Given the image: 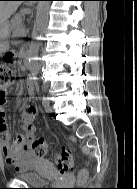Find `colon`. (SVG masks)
Segmentation results:
<instances>
[{"label": "colon", "mask_w": 137, "mask_h": 189, "mask_svg": "<svg viewBox=\"0 0 137 189\" xmlns=\"http://www.w3.org/2000/svg\"><path fill=\"white\" fill-rule=\"evenodd\" d=\"M13 55L11 53L6 54V62L0 63V97H3L4 89L15 78V72L11 67ZM37 111V105L34 102H30L26 108L27 114H35ZM28 148L37 156H45L49 152L48 143L41 137L30 136L28 138ZM55 162L60 172L65 173L72 169L73 158L72 154L68 150H61L55 154Z\"/></svg>", "instance_id": "5ec220e1"}]
</instances>
